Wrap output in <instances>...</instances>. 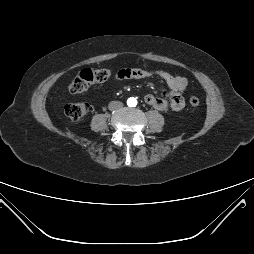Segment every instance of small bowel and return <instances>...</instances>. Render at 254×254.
I'll return each mask as SVG.
<instances>
[{
    "instance_id": "small-bowel-1",
    "label": "small bowel",
    "mask_w": 254,
    "mask_h": 254,
    "mask_svg": "<svg viewBox=\"0 0 254 254\" xmlns=\"http://www.w3.org/2000/svg\"><path fill=\"white\" fill-rule=\"evenodd\" d=\"M153 77H158L164 81L170 90L161 96L147 94L144 97L145 102L160 111H165L168 108L173 111L182 110L185 106L182 94L188 86V81L185 77L172 75L164 70H147L139 68L121 69L116 74V79L118 80L149 79Z\"/></svg>"
}]
</instances>
